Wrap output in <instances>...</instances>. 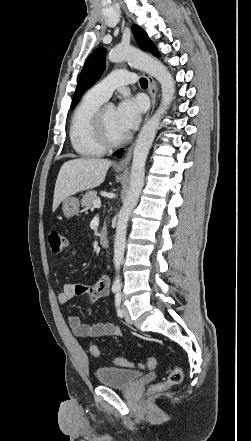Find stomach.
Masks as SVG:
<instances>
[{
  "mask_svg": "<svg viewBox=\"0 0 251 441\" xmlns=\"http://www.w3.org/2000/svg\"><path fill=\"white\" fill-rule=\"evenodd\" d=\"M119 172V170H117ZM80 202L78 198L69 196L62 202V211L65 217L70 218L78 214Z\"/></svg>",
  "mask_w": 251,
  "mask_h": 441,
  "instance_id": "0dacf381",
  "label": "stomach"
}]
</instances>
